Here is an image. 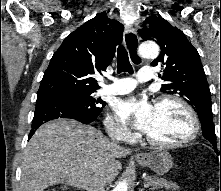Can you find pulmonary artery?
I'll use <instances>...</instances> for the list:
<instances>
[{
  "instance_id": "e3ab8cb5",
  "label": "pulmonary artery",
  "mask_w": 221,
  "mask_h": 191,
  "mask_svg": "<svg viewBox=\"0 0 221 191\" xmlns=\"http://www.w3.org/2000/svg\"><path fill=\"white\" fill-rule=\"evenodd\" d=\"M154 78V71L150 67H142L136 76L139 82H150ZM136 80L133 78L115 79L111 85H106L100 89L101 95H119L132 91L136 87Z\"/></svg>"
}]
</instances>
